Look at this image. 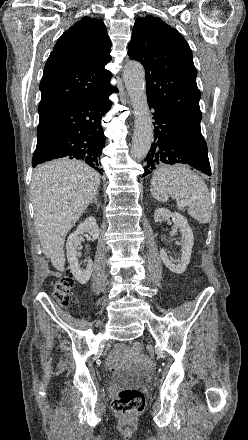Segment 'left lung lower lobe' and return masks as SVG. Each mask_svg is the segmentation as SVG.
Segmentation results:
<instances>
[{
  "mask_svg": "<svg viewBox=\"0 0 248 440\" xmlns=\"http://www.w3.org/2000/svg\"><path fill=\"white\" fill-rule=\"evenodd\" d=\"M154 113V141L145 158L144 174L148 175L163 164L183 163L211 175L207 145L201 130L163 112L149 101Z\"/></svg>",
  "mask_w": 248,
  "mask_h": 440,
  "instance_id": "obj_1",
  "label": "left lung lower lobe"
}]
</instances>
